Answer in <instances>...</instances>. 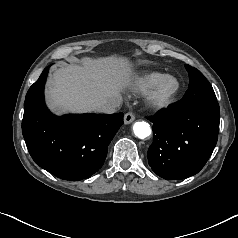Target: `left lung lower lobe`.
Returning a JSON list of instances; mask_svg holds the SVG:
<instances>
[{"instance_id": "left-lung-lower-lobe-1", "label": "left lung lower lobe", "mask_w": 238, "mask_h": 238, "mask_svg": "<svg viewBox=\"0 0 238 238\" xmlns=\"http://www.w3.org/2000/svg\"><path fill=\"white\" fill-rule=\"evenodd\" d=\"M218 103L180 111L177 103L148 117L153 122V143L148 149L152 170L167 180L198 173L211 156L218 138Z\"/></svg>"}]
</instances>
